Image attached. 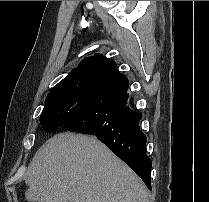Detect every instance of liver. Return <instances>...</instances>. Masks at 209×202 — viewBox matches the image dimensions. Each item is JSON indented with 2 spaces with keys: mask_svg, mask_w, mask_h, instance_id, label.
Here are the masks:
<instances>
[{
  "mask_svg": "<svg viewBox=\"0 0 209 202\" xmlns=\"http://www.w3.org/2000/svg\"><path fill=\"white\" fill-rule=\"evenodd\" d=\"M26 175L27 201L149 202L140 178L87 135H54L37 151Z\"/></svg>",
  "mask_w": 209,
  "mask_h": 202,
  "instance_id": "obj_1",
  "label": "liver"
}]
</instances>
